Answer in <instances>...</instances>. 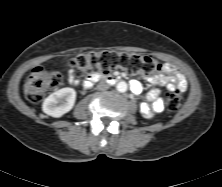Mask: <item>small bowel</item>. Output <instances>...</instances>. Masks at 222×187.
Here are the masks:
<instances>
[{"label": "small bowel", "instance_id": "small-bowel-1", "mask_svg": "<svg viewBox=\"0 0 222 187\" xmlns=\"http://www.w3.org/2000/svg\"><path fill=\"white\" fill-rule=\"evenodd\" d=\"M145 80L153 86L146 94L147 101L140 105V112L146 119H152L157 113L163 110L164 105L160 98L161 88L168 87L185 90L188 85L186 78L169 63L162 65V73L148 75L145 77ZM68 81L72 85H78L80 82L72 70L68 73ZM131 87L136 94L142 91V85L138 81H133Z\"/></svg>", "mask_w": 222, "mask_h": 187}]
</instances>
